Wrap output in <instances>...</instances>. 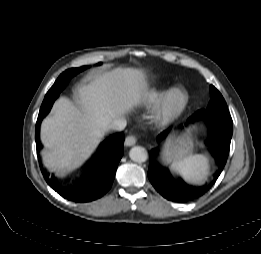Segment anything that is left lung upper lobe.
<instances>
[{
	"mask_svg": "<svg viewBox=\"0 0 261 254\" xmlns=\"http://www.w3.org/2000/svg\"><path fill=\"white\" fill-rule=\"evenodd\" d=\"M210 93L211 99L208 104V107L206 109L197 111L194 115L191 116V119L194 120L199 117H210L222 120H231L227 104L220 92L214 86L211 85Z\"/></svg>",
	"mask_w": 261,
	"mask_h": 254,
	"instance_id": "obj_1",
	"label": "left lung upper lobe"
}]
</instances>
